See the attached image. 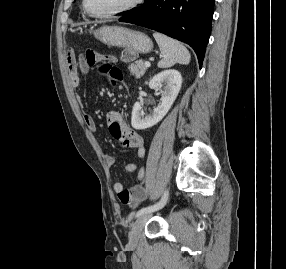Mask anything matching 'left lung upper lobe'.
<instances>
[{
  "label": "left lung upper lobe",
  "mask_w": 286,
  "mask_h": 269,
  "mask_svg": "<svg viewBox=\"0 0 286 269\" xmlns=\"http://www.w3.org/2000/svg\"><path fill=\"white\" fill-rule=\"evenodd\" d=\"M148 1H149V0H145L144 5H145ZM139 8H140V7H135L134 9L127 11V13H131V12H133V11H135V10H138Z\"/></svg>",
  "instance_id": "1"
}]
</instances>
